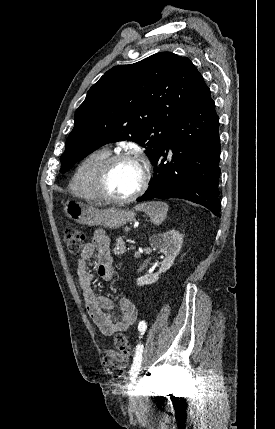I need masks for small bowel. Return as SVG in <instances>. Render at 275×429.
Masks as SVG:
<instances>
[{
	"label": "small bowel",
	"instance_id": "obj_1",
	"mask_svg": "<svg viewBox=\"0 0 275 429\" xmlns=\"http://www.w3.org/2000/svg\"><path fill=\"white\" fill-rule=\"evenodd\" d=\"M94 256L98 262L96 274L87 268V261ZM114 274L115 269L109 250V239L103 230H96L92 242L83 247L77 262V275L86 310L105 336L127 331L136 322L137 317L136 307L130 299L120 298L119 313L113 314L111 311L115 306L114 300L94 292L92 281L95 275L100 276L105 281H110Z\"/></svg>",
	"mask_w": 275,
	"mask_h": 429
}]
</instances>
